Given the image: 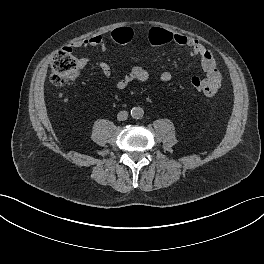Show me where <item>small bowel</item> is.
Masks as SVG:
<instances>
[{"label": "small bowel", "mask_w": 264, "mask_h": 264, "mask_svg": "<svg viewBox=\"0 0 264 264\" xmlns=\"http://www.w3.org/2000/svg\"><path fill=\"white\" fill-rule=\"evenodd\" d=\"M130 28V27H127ZM132 31L133 35L134 32ZM171 33V42L179 47H185L189 50L192 57H197L200 60L201 68L205 73L204 80L207 83V88L209 89L206 93L207 96L214 95L218 89L221 87L222 76L220 71L216 66L215 58L210 50L205 48V46L199 42L198 39L188 37L179 33ZM132 35V38H133ZM75 48H96L101 52L107 51V46L102 35H94L92 37L77 41L73 43ZM79 63L85 67L89 63V58L81 57L79 58ZM98 67L102 74L109 77L112 73L111 67L107 62H99ZM150 78V72L142 66H133L130 70L124 72L121 78L116 82V88L118 90L125 89L130 83L134 81L146 82ZM162 82H169L172 79V73L169 71H163L160 76Z\"/></svg>", "instance_id": "small-bowel-1"}]
</instances>
